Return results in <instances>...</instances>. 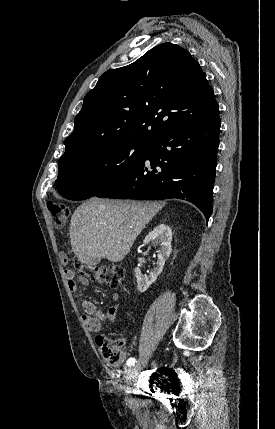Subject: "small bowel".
I'll list each match as a JSON object with an SVG mask.
<instances>
[{
  "instance_id": "obj_1",
  "label": "small bowel",
  "mask_w": 275,
  "mask_h": 429,
  "mask_svg": "<svg viewBox=\"0 0 275 429\" xmlns=\"http://www.w3.org/2000/svg\"><path fill=\"white\" fill-rule=\"evenodd\" d=\"M68 288L70 291L77 290V283L75 275L72 270H65ZM80 282L84 285L88 284V280L80 278ZM114 299L118 301V296L114 295ZM84 314L82 316L83 322L87 329L91 332L98 333L102 330L103 323L112 324L116 320L118 304L109 307L106 311H101L92 301L83 299L81 302Z\"/></svg>"
}]
</instances>
